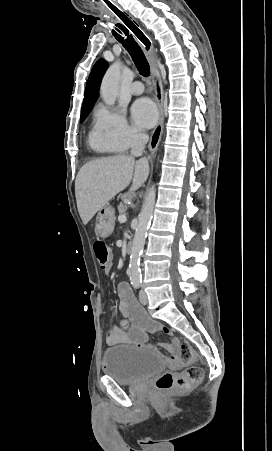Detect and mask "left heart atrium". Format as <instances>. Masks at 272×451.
<instances>
[{"label": "left heart atrium", "instance_id": "1", "mask_svg": "<svg viewBox=\"0 0 272 451\" xmlns=\"http://www.w3.org/2000/svg\"><path fill=\"white\" fill-rule=\"evenodd\" d=\"M134 122L141 127H150L156 119V109L149 99L137 101L132 108Z\"/></svg>", "mask_w": 272, "mask_h": 451}]
</instances>
